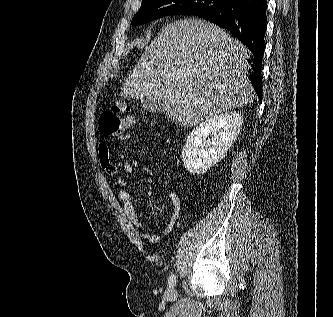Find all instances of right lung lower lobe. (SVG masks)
Wrapping results in <instances>:
<instances>
[{
	"label": "right lung lower lobe",
	"mask_w": 333,
	"mask_h": 317,
	"mask_svg": "<svg viewBox=\"0 0 333 317\" xmlns=\"http://www.w3.org/2000/svg\"><path fill=\"white\" fill-rule=\"evenodd\" d=\"M266 9V0H228L218 8L196 15L226 29L252 52L254 55L252 85L260 100L262 99L261 66L267 27Z\"/></svg>",
	"instance_id": "1"
}]
</instances>
